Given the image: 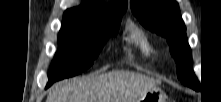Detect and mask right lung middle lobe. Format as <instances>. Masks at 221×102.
<instances>
[{
	"label": "right lung middle lobe",
	"mask_w": 221,
	"mask_h": 102,
	"mask_svg": "<svg viewBox=\"0 0 221 102\" xmlns=\"http://www.w3.org/2000/svg\"><path fill=\"white\" fill-rule=\"evenodd\" d=\"M124 12L107 19L64 18L58 35L59 49L49 70L51 86L55 81L75 76L89 68L110 35H116Z\"/></svg>",
	"instance_id": "obj_1"
}]
</instances>
